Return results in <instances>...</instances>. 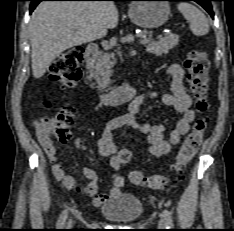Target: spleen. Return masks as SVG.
<instances>
[{
    "mask_svg": "<svg viewBox=\"0 0 234 231\" xmlns=\"http://www.w3.org/2000/svg\"><path fill=\"white\" fill-rule=\"evenodd\" d=\"M178 10L190 23V30L196 36H203L209 32V23L206 16L194 5L187 2L177 4Z\"/></svg>",
    "mask_w": 234,
    "mask_h": 231,
    "instance_id": "1",
    "label": "spleen"
}]
</instances>
